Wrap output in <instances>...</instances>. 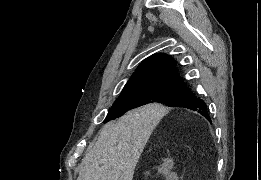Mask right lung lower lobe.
<instances>
[{
    "label": "right lung lower lobe",
    "mask_w": 261,
    "mask_h": 180,
    "mask_svg": "<svg viewBox=\"0 0 261 180\" xmlns=\"http://www.w3.org/2000/svg\"><path fill=\"white\" fill-rule=\"evenodd\" d=\"M173 107H185L197 111L205 118L210 120L206 104L200 98H196L194 95L175 103Z\"/></svg>",
    "instance_id": "98d812e1"
}]
</instances>
